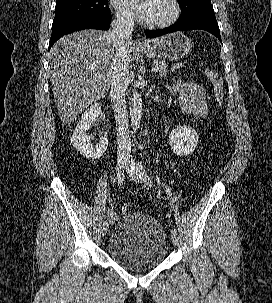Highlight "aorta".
<instances>
[{
  "mask_svg": "<svg viewBox=\"0 0 272 303\" xmlns=\"http://www.w3.org/2000/svg\"><path fill=\"white\" fill-rule=\"evenodd\" d=\"M130 118L133 132L138 130L142 117V99L140 93L133 91L130 102Z\"/></svg>",
  "mask_w": 272,
  "mask_h": 303,
  "instance_id": "1",
  "label": "aorta"
}]
</instances>
